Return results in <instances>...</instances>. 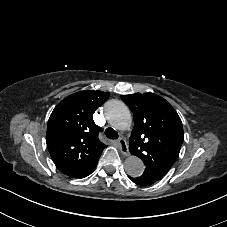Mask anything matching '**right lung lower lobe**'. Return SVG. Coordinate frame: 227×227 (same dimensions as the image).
<instances>
[{"instance_id": "obj_1", "label": "right lung lower lobe", "mask_w": 227, "mask_h": 227, "mask_svg": "<svg viewBox=\"0 0 227 227\" xmlns=\"http://www.w3.org/2000/svg\"><path fill=\"white\" fill-rule=\"evenodd\" d=\"M96 165H97V163H95L94 165H92V166L84 173V175H82V176L73 177V176L68 175V173H64V174L68 175L69 177H73V178H84V177L88 176L89 174H91V173L94 171Z\"/></svg>"}]
</instances>
